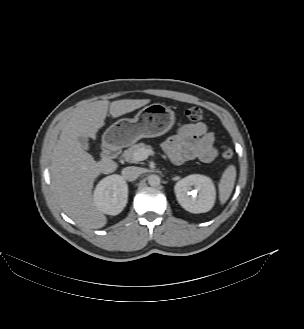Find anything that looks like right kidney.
Listing matches in <instances>:
<instances>
[{"instance_id": "obj_1", "label": "right kidney", "mask_w": 304, "mask_h": 329, "mask_svg": "<svg viewBox=\"0 0 304 329\" xmlns=\"http://www.w3.org/2000/svg\"><path fill=\"white\" fill-rule=\"evenodd\" d=\"M127 200L128 185L122 176L117 174L99 181L93 194L95 206L108 215L119 214L126 206Z\"/></svg>"}]
</instances>
